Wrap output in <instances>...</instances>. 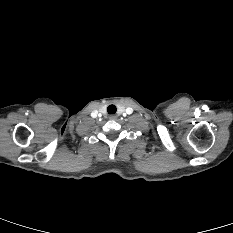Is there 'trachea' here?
Here are the masks:
<instances>
[{"instance_id": "trachea-1", "label": "trachea", "mask_w": 233, "mask_h": 233, "mask_svg": "<svg viewBox=\"0 0 233 233\" xmlns=\"http://www.w3.org/2000/svg\"><path fill=\"white\" fill-rule=\"evenodd\" d=\"M116 106L115 105H109L108 108H107V112L109 114H115L116 113Z\"/></svg>"}]
</instances>
